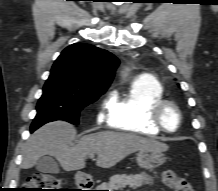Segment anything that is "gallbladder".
Returning <instances> with one entry per match:
<instances>
[{
  "label": "gallbladder",
  "mask_w": 218,
  "mask_h": 191,
  "mask_svg": "<svg viewBox=\"0 0 218 191\" xmlns=\"http://www.w3.org/2000/svg\"><path fill=\"white\" fill-rule=\"evenodd\" d=\"M36 169L41 173L56 174L59 172V166L52 156H43L36 163Z\"/></svg>",
  "instance_id": "gallbladder-1"
}]
</instances>
